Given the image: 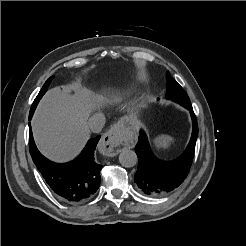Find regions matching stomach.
<instances>
[{
  "mask_svg": "<svg viewBox=\"0 0 246 246\" xmlns=\"http://www.w3.org/2000/svg\"><path fill=\"white\" fill-rule=\"evenodd\" d=\"M136 122H137V118L134 114H128L127 116L123 117L121 120V123L129 129L134 127Z\"/></svg>",
  "mask_w": 246,
  "mask_h": 246,
  "instance_id": "0dacf381",
  "label": "stomach"
}]
</instances>
